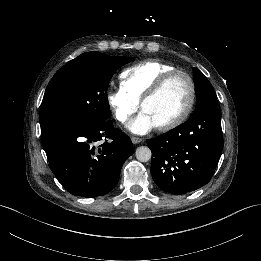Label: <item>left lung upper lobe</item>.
Masks as SVG:
<instances>
[{"instance_id": "5c2ea615", "label": "left lung upper lobe", "mask_w": 261, "mask_h": 261, "mask_svg": "<svg viewBox=\"0 0 261 261\" xmlns=\"http://www.w3.org/2000/svg\"><path fill=\"white\" fill-rule=\"evenodd\" d=\"M193 77L197 96L196 108L193 114L208 107H217L214 89L206 76L195 67L193 68Z\"/></svg>"}]
</instances>
